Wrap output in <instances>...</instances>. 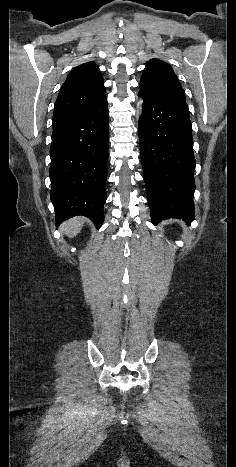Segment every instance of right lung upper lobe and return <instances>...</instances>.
<instances>
[{"label": "right lung upper lobe", "instance_id": "right-lung-upper-lobe-1", "mask_svg": "<svg viewBox=\"0 0 236 467\" xmlns=\"http://www.w3.org/2000/svg\"><path fill=\"white\" fill-rule=\"evenodd\" d=\"M104 82L98 66L87 62L74 68L56 100L53 124L77 116L105 99Z\"/></svg>", "mask_w": 236, "mask_h": 467}]
</instances>
